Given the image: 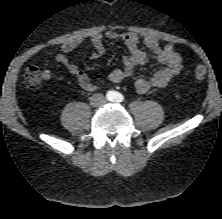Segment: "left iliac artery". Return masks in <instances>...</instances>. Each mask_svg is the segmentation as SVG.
<instances>
[{"instance_id": "44dca946", "label": "left iliac artery", "mask_w": 222, "mask_h": 219, "mask_svg": "<svg viewBox=\"0 0 222 219\" xmlns=\"http://www.w3.org/2000/svg\"><path fill=\"white\" fill-rule=\"evenodd\" d=\"M124 100V96L118 92L115 93V101L121 102Z\"/></svg>"}]
</instances>
